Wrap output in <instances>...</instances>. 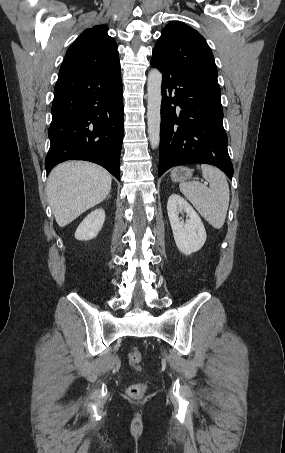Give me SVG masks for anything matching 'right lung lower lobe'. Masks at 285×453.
<instances>
[{
  "mask_svg": "<svg viewBox=\"0 0 285 453\" xmlns=\"http://www.w3.org/2000/svg\"><path fill=\"white\" fill-rule=\"evenodd\" d=\"M47 174L70 159L87 160L120 180L123 94L120 69L97 74L60 73L54 89Z\"/></svg>",
  "mask_w": 285,
  "mask_h": 453,
  "instance_id": "1",
  "label": "right lung lower lobe"
}]
</instances>
